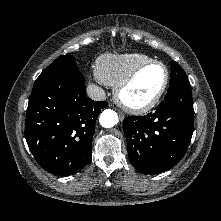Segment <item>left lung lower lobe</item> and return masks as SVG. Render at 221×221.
Segmentation results:
<instances>
[{
    "mask_svg": "<svg viewBox=\"0 0 221 221\" xmlns=\"http://www.w3.org/2000/svg\"><path fill=\"white\" fill-rule=\"evenodd\" d=\"M190 86L166 94L155 112L123 121L128 157L140 173H161L184 156L194 130Z\"/></svg>",
    "mask_w": 221,
    "mask_h": 221,
    "instance_id": "0a47b994",
    "label": "left lung lower lobe"
}]
</instances>
